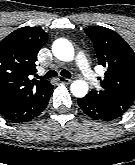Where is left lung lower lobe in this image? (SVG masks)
<instances>
[{
  "instance_id": "left-lung-lower-lobe-1",
  "label": "left lung lower lobe",
  "mask_w": 135,
  "mask_h": 165,
  "mask_svg": "<svg viewBox=\"0 0 135 165\" xmlns=\"http://www.w3.org/2000/svg\"><path fill=\"white\" fill-rule=\"evenodd\" d=\"M78 104L88 116L95 120L109 121L122 115L104 102L89 94L83 98L78 99Z\"/></svg>"
}]
</instances>
